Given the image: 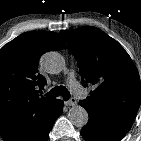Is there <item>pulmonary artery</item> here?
I'll return each mask as SVG.
<instances>
[{
    "label": "pulmonary artery",
    "instance_id": "obj_1",
    "mask_svg": "<svg viewBox=\"0 0 141 141\" xmlns=\"http://www.w3.org/2000/svg\"><path fill=\"white\" fill-rule=\"evenodd\" d=\"M69 84L72 87L74 92L80 93L81 89H80L79 85L77 84V82L74 79L70 78L69 79Z\"/></svg>",
    "mask_w": 141,
    "mask_h": 141
}]
</instances>
